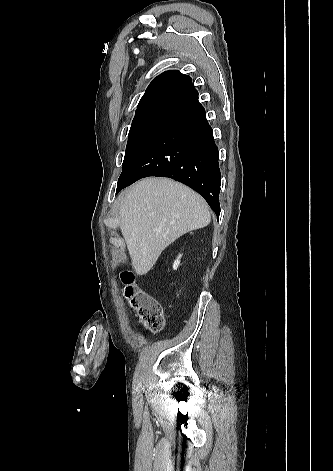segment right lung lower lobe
<instances>
[{
  "instance_id": "98d812e1",
  "label": "right lung lower lobe",
  "mask_w": 333,
  "mask_h": 471,
  "mask_svg": "<svg viewBox=\"0 0 333 471\" xmlns=\"http://www.w3.org/2000/svg\"><path fill=\"white\" fill-rule=\"evenodd\" d=\"M169 177L201 194L219 217V152L200 103L161 132L120 175L116 193L148 177Z\"/></svg>"
}]
</instances>
